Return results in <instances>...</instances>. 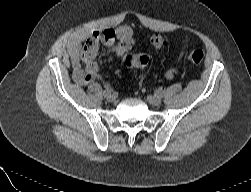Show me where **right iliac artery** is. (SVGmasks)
<instances>
[{
	"label": "right iliac artery",
	"mask_w": 251,
	"mask_h": 192,
	"mask_svg": "<svg viewBox=\"0 0 251 192\" xmlns=\"http://www.w3.org/2000/svg\"><path fill=\"white\" fill-rule=\"evenodd\" d=\"M113 90L110 87H106V89L104 90V96L106 97L107 95L111 94Z\"/></svg>",
	"instance_id": "1"
}]
</instances>
